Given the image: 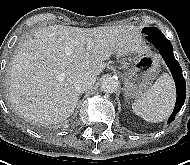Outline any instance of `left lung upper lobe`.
Here are the masks:
<instances>
[{
    "label": "left lung upper lobe",
    "instance_id": "obj_1",
    "mask_svg": "<svg viewBox=\"0 0 190 165\" xmlns=\"http://www.w3.org/2000/svg\"><path fill=\"white\" fill-rule=\"evenodd\" d=\"M142 33L146 34V38L149 40L150 38L157 36V35H161L163 33H161V31L156 28V27H145L142 30Z\"/></svg>",
    "mask_w": 190,
    "mask_h": 165
}]
</instances>
